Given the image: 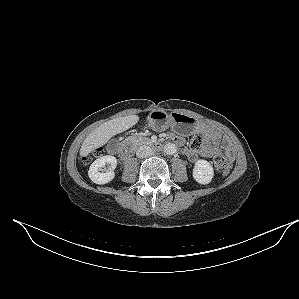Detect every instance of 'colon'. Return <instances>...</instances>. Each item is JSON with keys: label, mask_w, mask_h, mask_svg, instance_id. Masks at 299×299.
I'll return each mask as SVG.
<instances>
[{"label": "colon", "mask_w": 299, "mask_h": 299, "mask_svg": "<svg viewBox=\"0 0 299 299\" xmlns=\"http://www.w3.org/2000/svg\"><path fill=\"white\" fill-rule=\"evenodd\" d=\"M190 147L199 152L205 151V144H204L202 138L199 136H195L192 138V140L190 142ZM99 154H100V150H96L91 155L85 156L83 158V162L85 164H88L92 161L94 156H97ZM211 156L213 158L214 167L218 171H221V172L227 174L228 173V164H227V160L224 157V155L220 151L214 150L211 153Z\"/></svg>", "instance_id": "obj_1"}]
</instances>
